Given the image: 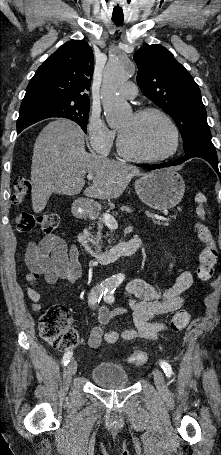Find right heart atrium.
I'll return each mask as SVG.
<instances>
[{
    "label": "right heart atrium",
    "mask_w": 221,
    "mask_h": 455,
    "mask_svg": "<svg viewBox=\"0 0 221 455\" xmlns=\"http://www.w3.org/2000/svg\"><path fill=\"white\" fill-rule=\"evenodd\" d=\"M87 135L91 150L100 155L110 152L116 138V132L97 114L89 117Z\"/></svg>",
    "instance_id": "obj_1"
}]
</instances>
